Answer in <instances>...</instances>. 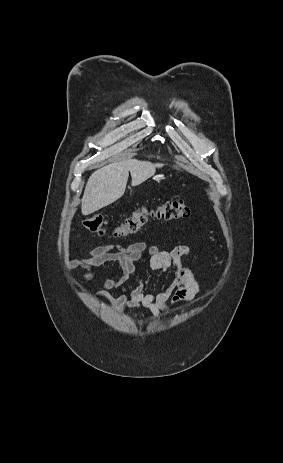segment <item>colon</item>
<instances>
[{
    "label": "colon",
    "instance_id": "obj_1",
    "mask_svg": "<svg viewBox=\"0 0 283 463\" xmlns=\"http://www.w3.org/2000/svg\"><path fill=\"white\" fill-rule=\"evenodd\" d=\"M191 215V209L180 200H164L156 208H137L114 231V236L123 237L137 233L151 218L163 220H182ZM90 232L104 234L105 220L102 216H90L83 221Z\"/></svg>",
    "mask_w": 283,
    "mask_h": 463
}]
</instances>
